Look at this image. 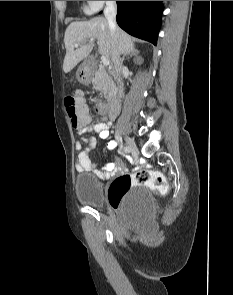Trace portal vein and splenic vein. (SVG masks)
Returning <instances> with one entry per match:
<instances>
[{"label": "portal vein and splenic vein", "instance_id": "1", "mask_svg": "<svg viewBox=\"0 0 233 295\" xmlns=\"http://www.w3.org/2000/svg\"><path fill=\"white\" fill-rule=\"evenodd\" d=\"M90 43H92L93 41L92 40H90L89 41ZM78 44H75V47L76 48H78ZM101 62L103 63V65H105V66H108L109 64H110V60L107 58V57H105V56H101Z\"/></svg>", "mask_w": 233, "mask_h": 295}]
</instances>
